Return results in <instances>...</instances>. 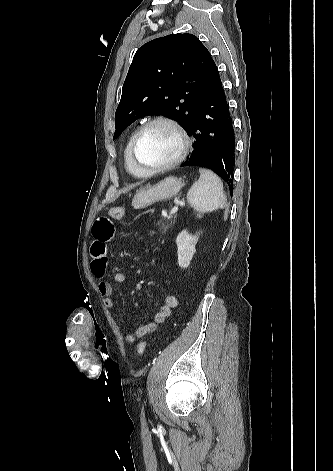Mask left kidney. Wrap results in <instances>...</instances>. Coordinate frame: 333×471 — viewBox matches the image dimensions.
Listing matches in <instances>:
<instances>
[{
  "label": "left kidney",
  "instance_id": "5707ae66",
  "mask_svg": "<svg viewBox=\"0 0 333 471\" xmlns=\"http://www.w3.org/2000/svg\"><path fill=\"white\" fill-rule=\"evenodd\" d=\"M198 235L189 234L186 230L181 231L177 238L178 265L181 268H187L190 265L192 257L196 251L195 246L198 241Z\"/></svg>",
  "mask_w": 333,
  "mask_h": 471
}]
</instances>
